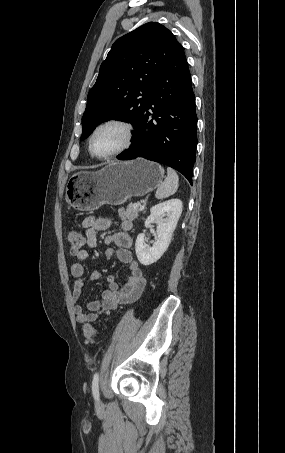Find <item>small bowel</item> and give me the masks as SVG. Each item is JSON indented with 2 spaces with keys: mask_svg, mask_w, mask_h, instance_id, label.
I'll use <instances>...</instances> for the list:
<instances>
[{
  "mask_svg": "<svg viewBox=\"0 0 285 453\" xmlns=\"http://www.w3.org/2000/svg\"><path fill=\"white\" fill-rule=\"evenodd\" d=\"M110 225L111 221L106 218L95 216L84 218L82 227L85 229V243L87 247L95 248L98 245L97 233L108 229ZM120 227L121 231L113 232L106 236L105 244L107 248L104 256L106 260H112L116 257L126 265L129 276L125 279L122 287H119L113 275H109L106 279L107 288L102 293V301L88 303V310L84 311L79 304V300L83 292L85 268L80 262H76L71 266V274L75 278L72 303L78 323L88 324L96 321L102 315H109L118 305L136 301L146 287L147 280L131 251L133 240L128 234V231L132 228V223L129 220H122ZM76 257L80 261L86 260L88 258L87 250L84 249ZM100 278L101 273L99 271H92L90 275L91 281H96Z\"/></svg>",
  "mask_w": 285,
  "mask_h": 453,
  "instance_id": "1",
  "label": "small bowel"
}]
</instances>
